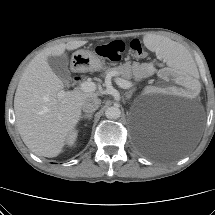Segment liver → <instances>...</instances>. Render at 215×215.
<instances>
[{
	"label": "liver",
	"mask_w": 215,
	"mask_h": 215,
	"mask_svg": "<svg viewBox=\"0 0 215 215\" xmlns=\"http://www.w3.org/2000/svg\"><path fill=\"white\" fill-rule=\"evenodd\" d=\"M87 42L75 40L44 49L20 78L14 97L16 125L24 144L38 156L51 158L62 152L80 120L83 102L98 95L94 91H63V82L47 62L49 56H61ZM61 91L64 96L59 97Z\"/></svg>",
	"instance_id": "6515ba94"
}]
</instances>
